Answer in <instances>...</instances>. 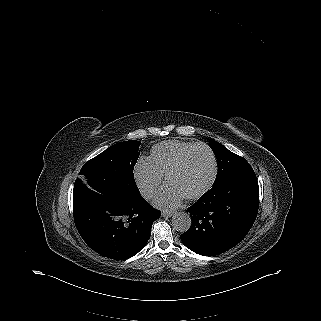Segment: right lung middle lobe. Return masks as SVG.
<instances>
[{"mask_svg":"<svg viewBox=\"0 0 321 321\" xmlns=\"http://www.w3.org/2000/svg\"><path fill=\"white\" fill-rule=\"evenodd\" d=\"M139 141L112 145L87 161L76 179L73 204L102 198L129 200L139 196L133 169L140 155Z\"/></svg>","mask_w":321,"mask_h":321,"instance_id":"dd1d6c3e","label":"right lung middle lobe"}]
</instances>
